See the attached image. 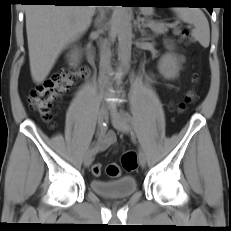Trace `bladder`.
I'll return each mask as SVG.
<instances>
[{
  "mask_svg": "<svg viewBox=\"0 0 231 231\" xmlns=\"http://www.w3.org/2000/svg\"><path fill=\"white\" fill-rule=\"evenodd\" d=\"M89 186L93 192L106 198H126L136 191L137 179L131 175L110 181L92 179Z\"/></svg>",
  "mask_w": 231,
  "mask_h": 231,
  "instance_id": "31cf9c89",
  "label": "bladder"
}]
</instances>
